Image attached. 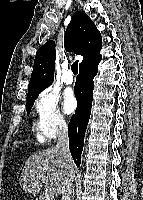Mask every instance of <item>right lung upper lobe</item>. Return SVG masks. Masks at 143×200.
Listing matches in <instances>:
<instances>
[{
	"mask_svg": "<svg viewBox=\"0 0 143 200\" xmlns=\"http://www.w3.org/2000/svg\"><path fill=\"white\" fill-rule=\"evenodd\" d=\"M64 46L68 52L83 56V64L100 52L101 34L85 12L77 11L67 26ZM55 42L48 41L36 53L26 100L31 99L50 86L54 80Z\"/></svg>",
	"mask_w": 143,
	"mask_h": 200,
	"instance_id": "obj_1",
	"label": "right lung upper lobe"
}]
</instances>
